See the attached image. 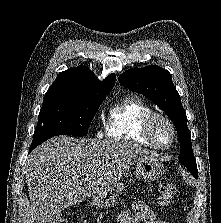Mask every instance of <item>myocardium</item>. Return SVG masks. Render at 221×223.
Instances as JSON below:
<instances>
[{
  "label": "myocardium",
  "instance_id": "myocardium-1",
  "mask_svg": "<svg viewBox=\"0 0 221 223\" xmlns=\"http://www.w3.org/2000/svg\"><path fill=\"white\" fill-rule=\"evenodd\" d=\"M157 121L164 122L171 132V141L167 145L160 144L154 136V125ZM142 135L154 148L159 150H167L175 143L177 132L172 120L167 115L159 112H152L144 120Z\"/></svg>",
  "mask_w": 221,
  "mask_h": 223
}]
</instances>
